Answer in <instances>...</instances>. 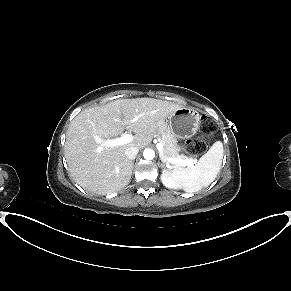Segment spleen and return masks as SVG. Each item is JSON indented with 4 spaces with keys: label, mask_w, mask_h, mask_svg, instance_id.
<instances>
[{
    "label": "spleen",
    "mask_w": 291,
    "mask_h": 291,
    "mask_svg": "<svg viewBox=\"0 0 291 291\" xmlns=\"http://www.w3.org/2000/svg\"><path fill=\"white\" fill-rule=\"evenodd\" d=\"M223 144L215 142L193 167L175 168L170 173L186 192H197L209 186L221 169Z\"/></svg>",
    "instance_id": "obj_1"
}]
</instances>
